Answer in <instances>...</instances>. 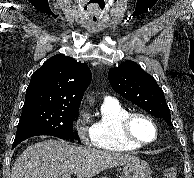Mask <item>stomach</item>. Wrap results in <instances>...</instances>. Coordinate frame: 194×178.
<instances>
[{
    "label": "stomach",
    "instance_id": "stomach-1",
    "mask_svg": "<svg viewBox=\"0 0 194 178\" xmlns=\"http://www.w3.org/2000/svg\"><path fill=\"white\" fill-rule=\"evenodd\" d=\"M151 173V168L146 161L137 160L124 166L121 178H152Z\"/></svg>",
    "mask_w": 194,
    "mask_h": 178
}]
</instances>
